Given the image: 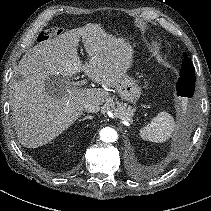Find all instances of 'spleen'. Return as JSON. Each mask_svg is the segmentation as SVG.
<instances>
[{
    "label": "spleen",
    "instance_id": "obj_1",
    "mask_svg": "<svg viewBox=\"0 0 211 211\" xmlns=\"http://www.w3.org/2000/svg\"><path fill=\"white\" fill-rule=\"evenodd\" d=\"M175 129L173 117L167 112L158 113L152 121L140 130L144 140L161 143L168 140Z\"/></svg>",
    "mask_w": 211,
    "mask_h": 211
}]
</instances>
